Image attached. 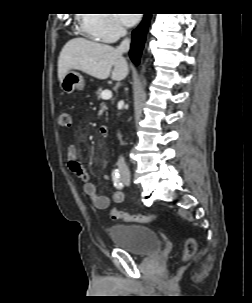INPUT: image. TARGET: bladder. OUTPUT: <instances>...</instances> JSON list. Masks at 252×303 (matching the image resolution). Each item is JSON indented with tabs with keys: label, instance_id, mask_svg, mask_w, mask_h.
Wrapping results in <instances>:
<instances>
[{
	"label": "bladder",
	"instance_id": "31cf9c89",
	"mask_svg": "<svg viewBox=\"0 0 252 303\" xmlns=\"http://www.w3.org/2000/svg\"><path fill=\"white\" fill-rule=\"evenodd\" d=\"M109 235L117 247L138 257L155 254L161 250L157 232L145 225L113 224L109 227Z\"/></svg>",
	"mask_w": 252,
	"mask_h": 303
}]
</instances>
